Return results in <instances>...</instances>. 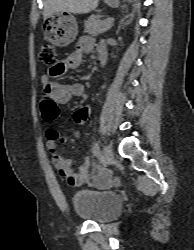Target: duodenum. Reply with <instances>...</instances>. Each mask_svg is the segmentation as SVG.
<instances>
[{"label":"duodenum","instance_id":"410a0bca","mask_svg":"<svg viewBox=\"0 0 194 250\" xmlns=\"http://www.w3.org/2000/svg\"><path fill=\"white\" fill-rule=\"evenodd\" d=\"M99 61L101 65H105L107 62V55L105 52L100 53L99 55Z\"/></svg>","mask_w":194,"mask_h":250}]
</instances>
